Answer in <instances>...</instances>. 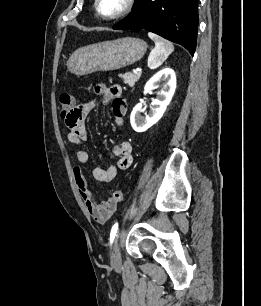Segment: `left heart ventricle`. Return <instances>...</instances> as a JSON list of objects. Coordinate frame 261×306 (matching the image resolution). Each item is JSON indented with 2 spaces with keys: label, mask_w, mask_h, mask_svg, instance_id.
I'll return each mask as SVG.
<instances>
[{
  "label": "left heart ventricle",
  "mask_w": 261,
  "mask_h": 306,
  "mask_svg": "<svg viewBox=\"0 0 261 306\" xmlns=\"http://www.w3.org/2000/svg\"><path fill=\"white\" fill-rule=\"evenodd\" d=\"M125 0H100L99 9L104 15H113L123 6Z\"/></svg>",
  "instance_id": "left-heart-ventricle-1"
}]
</instances>
